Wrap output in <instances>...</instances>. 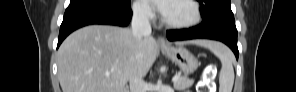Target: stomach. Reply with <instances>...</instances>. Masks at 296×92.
Segmentation results:
<instances>
[{
  "label": "stomach",
  "instance_id": "obj_1",
  "mask_svg": "<svg viewBox=\"0 0 296 92\" xmlns=\"http://www.w3.org/2000/svg\"><path fill=\"white\" fill-rule=\"evenodd\" d=\"M161 51L180 68L185 76L192 74L199 66L197 58L182 45L169 49L161 48Z\"/></svg>",
  "mask_w": 296,
  "mask_h": 92
}]
</instances>
